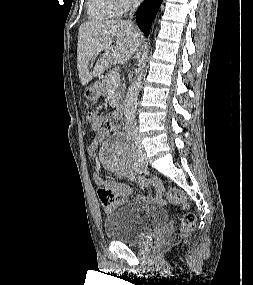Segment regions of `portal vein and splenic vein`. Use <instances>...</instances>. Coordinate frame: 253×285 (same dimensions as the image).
<instances>
[{
    "instance_id": "portal-vein-and-splenic-vein-1",
    "label": "portal vein and splenic vein",
    "mask_w": 253,
    "mask_h": 285,
    "mask_svg": "<svg viewBox=\"0 0 253 285\" xmlns=\"http://www.w3.org/2000/svg\"><path fill=\"white\" fill-rule=\"evenodd\" d=\"M111 44H107V45H103V46H100L98 47L97 49L98 50H101L102 48H108L110 47ZM120 82V74L118 72L114 73L112 75V77L110 78L109 80V83L112 85V86H116L118 83Z\"/></svg>"
}]
</instances>
